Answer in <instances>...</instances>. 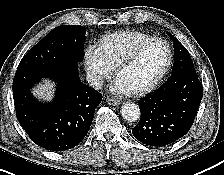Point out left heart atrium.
<instances>
[{"mask_svg":"<svg viewBox=\"0 0 224 175\" xmlns=\"http://www.w3.org/2000/svg\"><path fill=\"white\" fill-rule=\"evenodd\" d=\"M112 90L116 93H128L130 91L119 78L115 80Z\"/></svg>","mask_w":224,"mask_h":175,"instance_id":"left-heart-atrium-1","label":"left heart atrium"}]
</instances>
